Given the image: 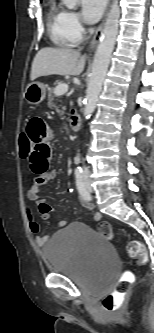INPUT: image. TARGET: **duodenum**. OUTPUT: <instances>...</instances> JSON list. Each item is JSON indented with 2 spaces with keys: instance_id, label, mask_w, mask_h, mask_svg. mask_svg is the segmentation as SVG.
<instances>
[{
  "instance_id": "1",
  "label": "duodenum",
  "mask_w": 154,
  "mask_h": 333,
  "mask_svg": "<svg viewBox=\"0 0 154 333\" xmlns=\"http://www.w3.org/2000/svg\"><path fill=\"white\" fill-rule=\"evenodd\" d=\"M70 127L73 132H77L81 127V116L77 112H72L70 118Z\"/></svg>"
}]
</instances>
